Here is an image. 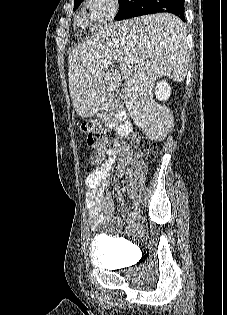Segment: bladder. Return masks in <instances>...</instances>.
<instances>
[{"instance_id": "1", "label": "bladder", "mask_w": 227, "mask_h": 315, "mask_svg": "<svg viewBox=\"0 0 227 315\" xmlns=\"http://www.w3.org/2000/svg\"><path fill=\"white\" fill-rule=\"evenodd\" d=\"M129 246L128 241L118 238H103L96 236L91 242L90 260L102 268H116L125 264L121 254H112L110 250L123 249Z\"/></svg>"}]
</instances>
